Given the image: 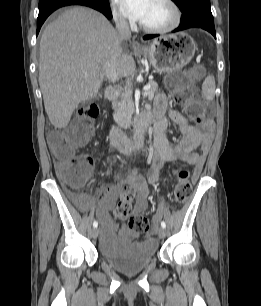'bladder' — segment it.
Listing matches in <instances>:
<instances>
[{"instance_id": "obj_1", "label": "bladder", "mask_w": 261, "mask_h": 306, "mask_svg": "<svg viewBox=\"0 0 261 306\" xmlns=\"http://www.w3.org/2000/svg\"><path fill=\"white\" fill-rule=\"evenodd\" d=\"M155 254L156 244L152 240L130 242L127 236H120L100 245L102 260L125 274L145 269L155 260Z\"/></svg>"}]
</instances>
